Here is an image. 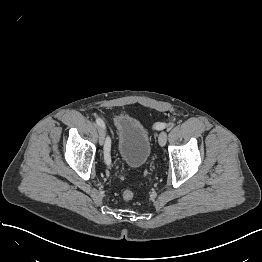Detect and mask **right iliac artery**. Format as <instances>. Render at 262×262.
Segmentation results:
<instances>
[{
    "label": "right iliac artery",
    "mask_w": 262,
    "mask_h": 262,
    "mask_svg": "<svg viewBox=\"0 0 262 262\" xmlns=\"http://www.w3.org/2000/svg\"><path fill=\"white\" fill-rule=\"evenodd\" d=\"M96 123L98 126L105 128V124L102 119L97 118ZM104 159L107 164L111 163V157H110V141L108 140L104 147Z\"/></svg>",
    "instance_id": "1"
}]
</instances>
